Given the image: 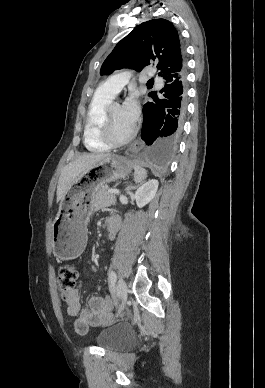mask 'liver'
<instances>
[{"instance_id": "obj_1", "label": "liver", "mask_w": 265, "mask_h": 388, "mask_svg": "<svg viewBox=\"0 0 265 388\" xmlns=\"http://www.w3.org/2000/svg\"><path fill=\"white\" fill-rule=\"evenodd\" d=\"M111 154H85V156H80L76 158L73 162H70L68 166H64L61 170L60 178L58 180L57 186V202L60 200H65L67 192L70 190L74 180L83 174L88 168H92L94 164L103 160V158H108Z\"/></svg>"}]
</instances>
